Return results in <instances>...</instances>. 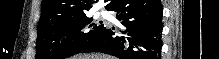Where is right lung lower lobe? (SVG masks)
<instances>
[{
	"instance_id": "obj_1",
	"label": "right lung lower lobe",
	"mask_w": 219,
	"mask_h": 59,
	"mask_svg": "<svg viewBox=\"0 0 219 59\" xmlns=\"http://www.w3.org/2000/svg\"><path fill=\"white\" fill-rule=\"evenodd\" d=\"M122 28H106L81 52H103L120 59H160L162 15L160 0H114Z\"/></svg>"
}]
</instances>
